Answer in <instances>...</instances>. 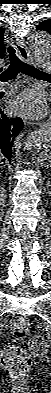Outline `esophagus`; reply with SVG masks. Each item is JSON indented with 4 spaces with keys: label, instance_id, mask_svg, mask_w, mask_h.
Instances as JSON below:
<instances>
[{
    "label": "esophagus",
    "instance_id": "1",
    "mask_svg": "<svg viewBox=\"0 0 51 393\" xmlns=\"http://www.w3.org/2000/svg\"><path fill=\"white\" fill-rule=\"evenodd\" d=\"M12 42L15 45L16 50H17L21 60L27 64H31L29 52L27 51L23 42L19 38H17L16 36H12ZM40 125L42 127H47V126H50V122L44 121V122H41Z\"/></svg>",
    "mask_w": 51,
    "mask_h": 393
}]
</instances>
